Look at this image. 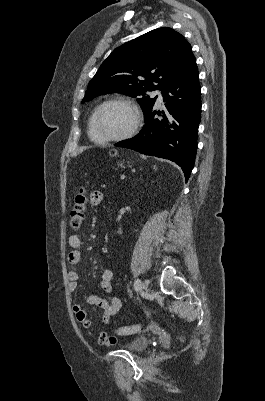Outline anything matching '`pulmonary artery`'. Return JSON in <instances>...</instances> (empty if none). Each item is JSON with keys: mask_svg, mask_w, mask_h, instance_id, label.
<instances>
[{"mask_svg": "<svg viewBox=\"0 0 265 401\" xmlns=\"http://www.w3.org/2000/svg\"><path fill=\"white\" fill-rule=\"evenodd\" d=\"M152 95L153 96H157V103L158 104L162 103L163 98H162V95H161L160 91L155 90V91L152 92Z\"/></svg>", "mask_w": 265, "mask_h": 401, "instance_id": "pulmonary-artery-1", "label": "pulmonary artery"}]
</instances>
